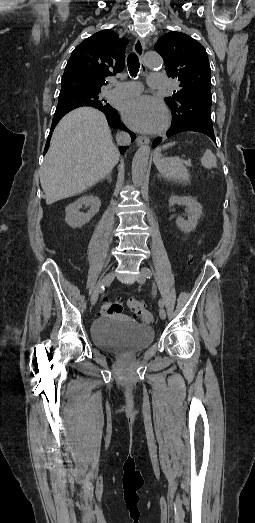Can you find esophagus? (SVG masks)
<instances>
[{"instance_id":"esophagus-1","label":"esophagus","mask_w":255,"mask_h":523,"mask_svg":"<svg viewBox=\"0 0 255 523\" xmlns=\"http://www.w3.org/2000/svg\"><path fill=\"white\" fill-rule=\"evenodd\" d=\"M133 50H134L135 54L139 57V60L141 63V68L144 69L145 68V65L143 63L144 44H143V41L141 40V38L138 37L136 39L134 46H133ZM136 143H137V145L146 144V143H149V139L144 136H139V137H137Z\"/></svg>"}]
</instances>
